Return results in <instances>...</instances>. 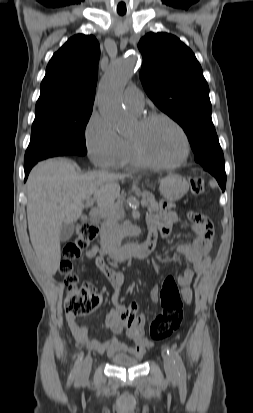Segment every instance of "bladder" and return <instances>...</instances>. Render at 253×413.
Wrapping results in <instances>:
<instances>
[{
    "mask_svg": "<svg viewBox=\"0 0 253 413\" xmlns=\"http://www.w3.org/2000/svg\"><path fill=\"white\" fill-rule=\"evenodd\" d=\"M112 363L119 367H133L140 363V359L126 355H116L111 359Z\"/></svg>",
    "mask_w": 253,
    "mask_h": 413,
    "instance_id": "obj_1",
    "label": "bladder"
}]
</instances>
